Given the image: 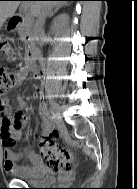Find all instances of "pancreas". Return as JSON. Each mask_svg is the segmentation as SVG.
Wrapping results in <instances>:
<instances>
[{
	"label": "pancreas",
	"instance_id": "cf45deb5",
	"mask_svg": "<svg viewBox=\"0 0 137 189\" xmlns=\"http://www.w3.org/2000/svg\"><path fill=\"white\" fill-rule=\"evenodd\" d=\"M21 39H24L22 35H21Z\"/></svg>",
	"mask_w": 137,
	"mask_h": 189
}]
</instances>
